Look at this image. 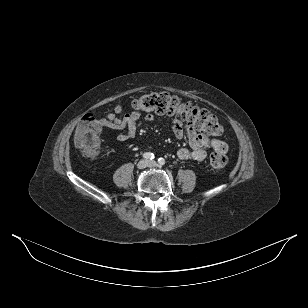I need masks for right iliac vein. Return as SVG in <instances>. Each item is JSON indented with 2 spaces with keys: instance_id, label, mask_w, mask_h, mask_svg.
I'll return each instance as SVG.
<instances>
[{
  "instance_id": "1",
  "label": "right iliac vein",
  "mask_w": 308,
  "mask_h": 308,
  "mask_svg": "<svg viewBox=\"0 0 308 308\" xmlns=\"http://www.w3.org/2000/svg\"><path fill=\"white\" fill-rule=\"evenodd\" d=\"M149 166V162L147 160H140L137 164L139 169H144Z\"/></svg>"
}]
</instances>
